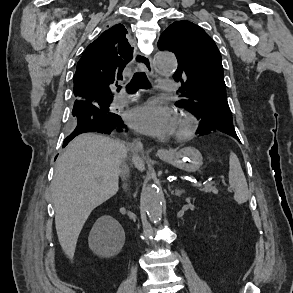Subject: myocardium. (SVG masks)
<instances>
[{
	"label": "myocardium",
	"mask_w": 293,
	"mask_h": 293,
	"mask_svg": "<svg viewBox=\"0 0 293 293\" xmlns=\"http://www.w3.org/2000/svg\"><path fill=\"white\" fill-rule=\"evenodd\" d=\"M198 128L196 118L188 113H181L176 118L175 138L186 140L191 138Z\"/></svg>",
	"instance_id": "f54148a6"
}]
</instances>
